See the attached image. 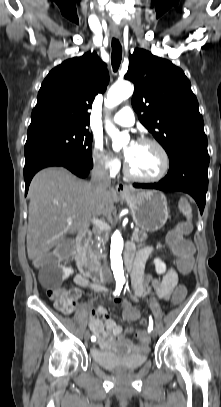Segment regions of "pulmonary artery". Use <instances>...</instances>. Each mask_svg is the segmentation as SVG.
Instances as JSON below:
<instances>
[{"instance_id": "1", "label": "pulmonary artery", "mask_w": 221, "mask_h": 407, "mask_svg": "<svg viewBox=\"0 0 221 407\" xmlns=\"http://www.w3.org/2000/svg\"><path fill=\"white\" fill-rule=\"evenodd\" d=\"M113 122L120 126H132L135 122L133 110L126 106L119 110L113 117Z\"/></svg>"}]
</instances>
